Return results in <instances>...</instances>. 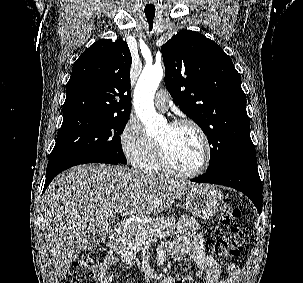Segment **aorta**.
I'll return each mask as SVG.
<instances>
[{"mask_svg": "<svg viewBox=\"0 0 303 283\" xmlns=\"http://www.w3.org/2000/svg\"><path fill=\"white\" fill-rule=\"evenodd\" d=\"M161 65L145 67L134 91V107L145 126L147 135H154L165 124V119L154 108V95L163 77Z\"/></svg>", "mask_w": 303, "mask_h": 283, "instance_id": "1", "label": "aorta"}]
</instances>
